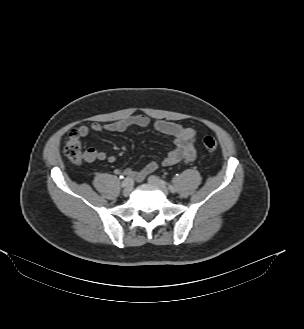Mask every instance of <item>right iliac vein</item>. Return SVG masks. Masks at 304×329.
Returning a JSON list of instances; mask_svg holds the SVG:
<instances>
[{
    "label": "right iliac vein",
    "mask_w": 304,
    "mask_h": 329,
    "mask_svg": "<svg viewBox=\"0 0 304 329\" xmlns=\"http://www.w3.org/2000/svg\"><path fill=\"white\" fill-rule=\"evenodd\" d=\"M131 192H132V186L131 185H127L123 189V195L126 196V197L129 196Z\"/></svg>",
    "instance_id": "1"
}]
</instances>
